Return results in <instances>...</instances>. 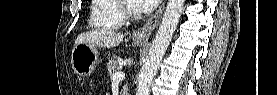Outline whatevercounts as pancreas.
Returning <instances> with one entry per match:
<instances>
[{
  "label": "pancreas",
  "instance_id": "1",
  "mask_svg": "<svg viewBox=\"0 0 277 95\" xmlns=\"http://www.w3.org/2000/svg\"><path fill=\"white\" fill-rule=\"evenodd\" d=\"M120 65H119V58L118 57H113L109 60V62L107 63V69H108V73L112 78V75L117 72V70H119ZM128 92V87L127 85H124L122 87V90L120 92L121 95H125Z\"/></svg>",
  "mask_w": 277,
  "mask_h": 95
}]
</instances>
